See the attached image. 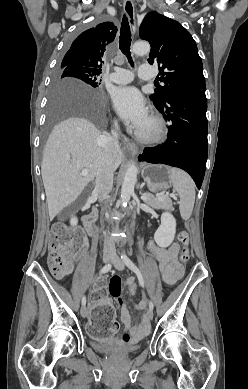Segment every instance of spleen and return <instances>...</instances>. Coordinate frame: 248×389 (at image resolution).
I'll use <instances>...</instances> for the list:
<instances>
[{"label": "spleen", "mask_w": 248, "mask_h": 389, "mask_svg": "<svg viewBox=\"0 0 248 389\" xmlns=\"http://www.w3.org/2000/svg\"><path fill=\"white\" fill-rule=\"evenodd\" d=\"M169 172L173 187L180 197L179 210L181 217L188 220L195 203V184L192 178L181 169L172 167Z\"/></svg>", "instance_id": "1"}]
</instances>
